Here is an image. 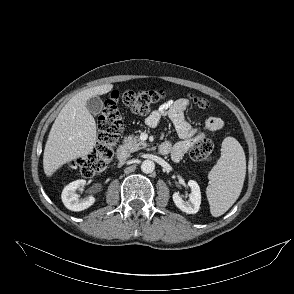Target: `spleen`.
I'll return each mask as SVG.
<instances>
[{
    "label": "spleen",
    "instance_id": "3e777b00",
    "mask_svg": "<svg viewBox=\"0 0 294 294\" xmlns=\"http://www.w3.org/2000/svg\"><path fill=\"white\" fill-rule=\"evenodd\" d=\"M221 156L208 177L207 198L214 217L223 215L238 199L246 174V158L240 143L226 137L221 146Z\"/></svg>",
    "mask_w": 294,
    "mask_h": 294
}]
</instances>
